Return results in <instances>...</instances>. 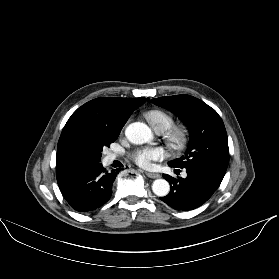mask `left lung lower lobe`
<instances>
[{
    "instance_id": "left-lung-lower-lobe-1",
    "label": "left lung lower lobe",
    "mask_w": 279,
    "mask_h": 279,
    "mask_svg": "<svg viewBox=\"0 0 279 279\" xmlns=\"http://www.w3.org/2000/svg\"><path fill=\"white\" fill-rule=\"evenodd\" d=\"M185 169L187 177L184 179L163 174L170 183L171 189L167 196L160 199L175 210H193L203 205L217 190L223 179L204 167L191 166Z\"/></svg>"
}]
</instances>
